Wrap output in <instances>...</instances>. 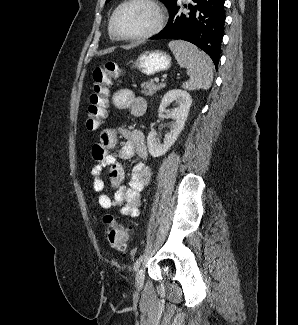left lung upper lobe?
Wrapping results in <instances>:
<instances>
[{"label": "left lung upper lobe", "mask_w": 298, "mask_h": 325, "mask_svg": "<svg viewBox=\"0 0 298 325\" xmlns=\"http://www.w3.org/2000/svg\"><path fill=\"white\" fill-rule=\"evenodd\" d=\"M110 0H106V3H108ZM164 3H166L168 5V7L174 2V0H161Z\"/></svg>", "instance_id": "left-lung-upper-lobe-1"}]
</instances>
